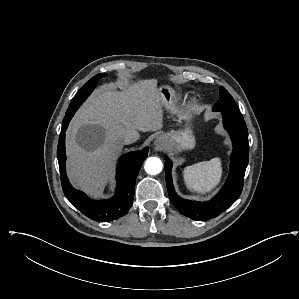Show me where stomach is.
I'll list each match as a JSON object with an SVG mask.
<instances>
[{"label":"stomach","instance_id":"stomach-1","mask_svg":"<svg viewBox=\"0 0 299 299\" xmlns=\"http://www.w3.org/2000/svg\"><path fill=\"white\" fill-rule=\"evenodd\" d=\"M158 89L161 93L165 107L170 111H176L174 107L176 99L174 89L170 86H160ZM177 113L181 119H184L188 123L192 119V114L189 111L179 110ZM163 137L165 139V148L171 153L189 150L195 146V138L190 128L171 131L164 134Z\"/></svg>","mask_w":299,"mask_h":299}]
</instances>
